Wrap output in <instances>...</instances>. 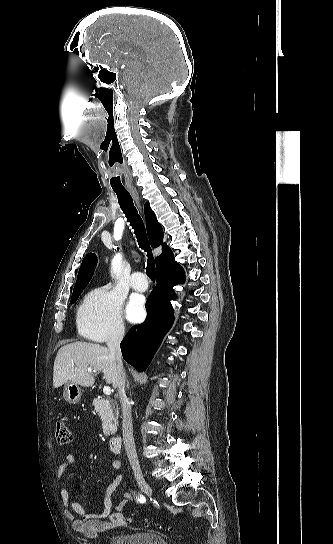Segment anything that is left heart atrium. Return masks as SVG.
<instances>
[{
	"mask_svg": "<svg viewBox=\"0 0 333 544\" xmlns=\"http://www.w3.org/2000/svg\"><path fill=\"white\" fill-rule=\"evenodd\" d=\"M144 298L134 296L127 307V317L132 322H140L145 316Z\"/></svg>",
	"mask_w": 333,
	"mask_h": 544,
	"instance_id": "1",
	"label": "left heart atrium"
}]
</instances>
